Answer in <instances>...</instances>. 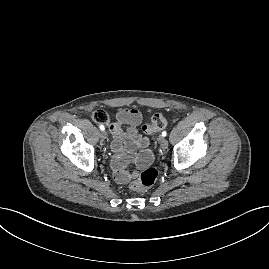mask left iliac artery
<instances>
[{
  "mask_svg": "<svg viewBox=\"0 0 269 269\" xmlns=\"http://www.w3.org/2000/svg\"><path fill=\"white\" fill-rule=\"evenodd\" d=\"M166 135H167V132H166V131H163V132H162V136L165 137Z\"/></svg>",
  "mask_w": 269,
  "mask_h": 269,
  "instance_id": "left-iliac-artery-1",
  "label": "left iliac artery"
}]
</instances>
